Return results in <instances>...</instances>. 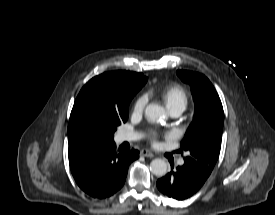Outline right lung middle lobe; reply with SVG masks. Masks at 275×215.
Returning <instances> with one entry per match:
<instances>
[{
    "label": "right lung middle lobe",
    "mask_w": 275,
    "mask_h": 215,
    "mask_svg": "<svg viewBox=\"0 0 275 215\" xmlns=\"http://www.w3.org/2000/svg\"><path fill=\"white\" fill-rule=\"evenodd\" d=\"M139 89L115 106L95 97L75 102L68 125L69 148L113 141L117 126L128 119V107Z\"/></svg>",
    "instance_id": "1"
}]
</instances>
